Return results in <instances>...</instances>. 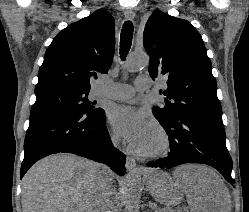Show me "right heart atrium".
Segmentation results:
<instances>
[{
	"mask_svg": "<svg viewBox=\"0 0 249 212\" xmlns=\"http://www.w3.org/2000/svg\"><path fill=\"white\" fill-rule=\"evenodd\" d=\"M110 139L112 142H115V138L112 135L110 136Z\"/></svg>",
	"mask_w": 249,
	"mask_h": 212,
	"instance_id": "obj_1",
	"label": "right heart atrium"
}]
</instances>
